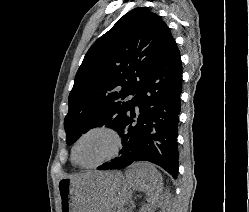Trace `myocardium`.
Segmentation results:
<instances>
[{"mask_svg": "<svg viewBox=\"0 0 249 212\" xmlns=\"http://www.w3.org/2000/svg\"><path fill=\"white\" fill-rule=\"evenodd\" d=\"M108 133L110 134L114 140H115V149L114 151L105 159H103L102 161L95 163V164H91V165H84V164H80L77 161V149L79 144L81 143V141L86 138L89 135L95 134V133ZM125 147V138L123 136V134L114 126L109 125V124H100V125H96L93 126L89 129H87L86 131H84L74 142L73 147H72V161L73 163L78 166L81 169H97L115 159H117L118 157L121 156L123 150Z\"/></svg>", "mask_w": 249, "mask_h": 212, "instance_id": "obj_1", "label": "myocardium"}]
</instances>
